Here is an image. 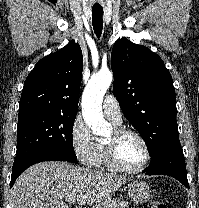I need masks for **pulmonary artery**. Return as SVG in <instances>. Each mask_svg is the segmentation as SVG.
I'll return each mask as SVG.
<instances>
[{"label": "pulmonary artery", "mask_w": 199, "mask_h": 208, "mask_svg": "<svg viewBox=\"0 0 199 208\" xmlns=\"http://www.w3.org/2000/svg\"><path fill=\"white\" fill-rule=\"evenodd\" d=\"M102 107L105 115L113 124L120 125L122 123V111L113 95H108L104 98Z\"/></svg>", "instance_id": "e3ab8cb5"}]
</instances>
